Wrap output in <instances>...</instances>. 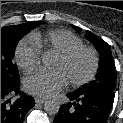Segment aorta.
I'll use <instances>...</instances> for the list:
<instances>
[{"label":"aorta","instance_id":"1","mask_svg":"<svg viewBox=\"0 0 123 123\" xmlns=\"http://www.w3.org/2000/svg\"><path fill=\"white\" fill-rule=\"evenodd\" d=\"M51 61H52V57L49 53L46 52L42 55L43 64L48 65L50 64ZM59 109H60V104L56 100H48L44 104V110L50 115L57 114Z\"/></svg>","mask_w":123,"mask_h":123}]
</instances>
